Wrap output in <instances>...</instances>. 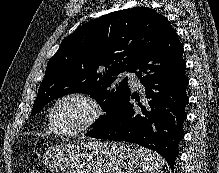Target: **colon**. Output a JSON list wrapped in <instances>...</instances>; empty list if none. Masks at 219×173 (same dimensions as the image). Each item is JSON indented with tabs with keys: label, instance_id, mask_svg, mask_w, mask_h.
Listing matches in <instances>:
<instances>
[{
	"label": "colon",
	"instance_id": "5ec220e1",
	"mask_svg": "<svg viewBox=\"0 0 219 173\" xmlns=\"http://www.w3.org/2000/svg\"><path fill=\"white\" fill-rule=\"evenodd\" d=\"M27 173H41L38 166L32 165L28 168Z\"/></svg>",
	"mask_w": 219,
	"mask_h": 173
}]
</instances>
